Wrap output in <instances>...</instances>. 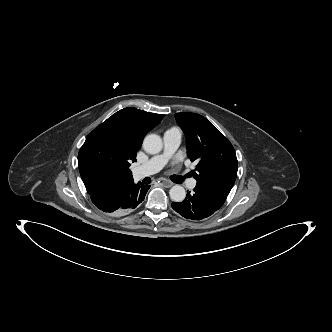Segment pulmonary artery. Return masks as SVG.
I'll return each mask as SVG.
<instances>
[{
	"label": "pulmonary artery",
	"instance_id": "pulmonary-artery-1",
	"mask_svg": "<svg viewBox=\"0 0 332 332\" xmlns=\"http://www.w3.org/2000/svg\"><path fill=\"white\" fill-rule=\"evenodd\" d=\"M182 135L177 128L167 130L164 133V150L161 154L152 157L146 163L135 168L133 174L135 178H144L160 171L168 159L174 154L181 143ZM183 180L185 178L183 177ZM187 186L193 189L196 186V180L188 179Z\"/></svg>",
	"mask_w": 332,
	"mask_h": 332
}]
</instances>
